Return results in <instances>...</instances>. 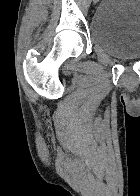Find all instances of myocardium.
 <instances>
[{"mask_svg":"<svg viewBox=\"0 0 140 196\" xmlns=\"http://www.w3.org/2000/svg\"><path fill=\"white\" fill-rule=\"evenodd\" d=\"M86 192H106V191H86ZM117 192H124V191H117Z\"/></svg>","mask_w":140,"mask_h":196,"instance_id":"f54148a6","label":"myocardium"}]
</instances>
